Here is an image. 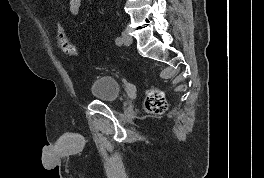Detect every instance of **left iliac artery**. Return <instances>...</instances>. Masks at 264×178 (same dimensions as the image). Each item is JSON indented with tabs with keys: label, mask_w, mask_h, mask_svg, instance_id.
<instances>
[{
	"label": "left iliac artery",
	"mask_w": 264,
	"mask_h": 178,
	"mask_svg": "<svg viewBox=\"0 0 264 178\" xmlns=\"http://www.w3.org/2000/svg\"><path fill=\"white\" fill-rule=\"evenodd\" d=\"M122 38L121 37H117L116 39H115V43L117 44V45H122Z\"/></svg>",
	"instance_id": "obj_1"
}]
</instances>
